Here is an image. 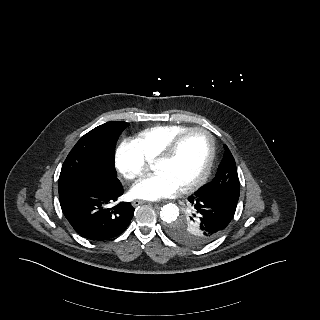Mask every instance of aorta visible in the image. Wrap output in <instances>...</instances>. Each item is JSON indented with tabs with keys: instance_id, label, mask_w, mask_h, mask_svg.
Masks as SVG:
<instances>
[{
	"instance_id": "obj_1",
	"label": "aorta",
	"mask_w": 320,
	"mask_h": 320,
	"mask_svg": "<svg viewBox=\"0 0 320 320\" xmlns=\"http://www.w3.org/2000/svg\"><path fill=\"white\" fill-rule=\"evenodd\" d=\"M179 216V208L172 203L166 204L161 208L160 217L162 221L171 223L176 221Z\"/></svg>"
}]
</instances>
